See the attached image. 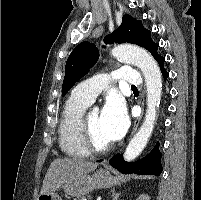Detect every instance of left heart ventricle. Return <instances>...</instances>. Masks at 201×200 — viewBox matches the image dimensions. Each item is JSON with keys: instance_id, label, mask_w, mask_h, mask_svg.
I'll list each match as a JSON object with an SVG mask.
<instances>
[{"instance_id": "b2bd125f", "label": "left heart ventricle", "mask_w": 201, "mask_h": 200, "mask_svg": "<svg viewBox=\"0 0 201 200\" xmlns=\"http://www.w3.org/2000/svg\"><path fill=\"white\" fill-rule=\"evenodd\" d=\"M87 120L94 143L99 146L110 144L111 141L107 138L103 129L101 114L98 112L89 113Z\"/></svg>"}]
</instances>
